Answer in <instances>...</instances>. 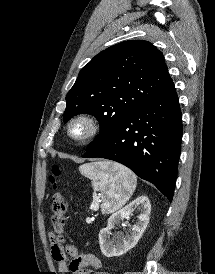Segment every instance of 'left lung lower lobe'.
Listing matches in <instances>:
<instances>
[{"label": "left lung lower lobe", "instance_id": "0a47b994", "mask_svg": "<svg viewBox=\"0 0 215 274\" xmlns=\"http://www.w3.org/2000/svg\"><path fill=\"white\" fill-rule=\"evenodd\" d=\"M182 116L171 82L127 115L84 158H105L130 168L172 201L181 151Z\"/></svg>", "mask_w": 215, "mask_h": 274}]
</instances>
